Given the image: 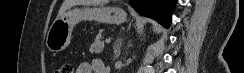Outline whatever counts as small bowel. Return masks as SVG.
<instances>
[{"mask_svg":"<svg viewBox=\"0 0 244 73\" xmlns=\"http://www.w3.org/2000/svg\"><path fill=\"white\" fill-rule=\"evenodd\" d=\"M76 73H110L108 68L105 66L102 60L93 59L91 61L81 62Z\"/></svg>","mask_w":244,"mask_h":73,"instance_id":"small-bowel-1","label":"small bowel"}]
</instances>
